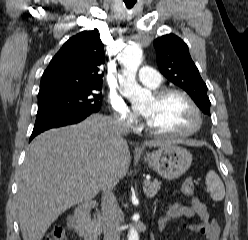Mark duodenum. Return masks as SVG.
Masks as SVG:
<instances>
[{"instance_id":"1","label":"duodenum","mask_w":248,"mask_h":240,"mask_svg":"<svg viewBox=\"0 0 248 240\" xmlns=\"http://www.w3.org/2000/svg\"><path fill=\"white\" fill-rule=\"evenodd\" d=\"M93 201L81 204L74 212L72 227L79 232L84 240H100L95 227L91 224L89 214L94 208Z\"/></svg>"}]
</instances>
